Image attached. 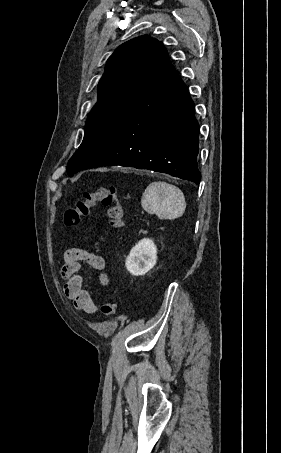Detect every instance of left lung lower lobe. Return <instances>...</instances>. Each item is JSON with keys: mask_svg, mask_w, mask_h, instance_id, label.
<instances>
[{"mask_svg": "<svg viewBox=\"0 0 281 453\" xmlns=\"http://www.w3.org/2000/svg\"><path fill=\"white\" fill-rule=\"evenodd\" d=\"M198 135L194 104L168 59L115 135L80 170L120 165L163 172L199 184Z\"/></svg>", "mask_w": 281, "mask_h": 453, "instance_id": "obj_1", "label": "left lung lower lobe"}]
</instances>
